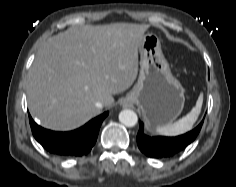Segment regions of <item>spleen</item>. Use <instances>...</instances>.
<instances>
[{
    "instance_id": "3e777b00",
    "label": "spleen",
    "mask_w": 236,
    "mask_h": 187,
    "mask_svg": "<svg viewBox=\"0 0 236 187\" xmlns=\"http://www.w3.org/2000/svg\"><path fill=\"white\" fill-rule=\"evenodd\" d=\"M202 104H203V94H200L195 107H193L186 116L179 119L173 124L157 127L156 132L164 136H177L191 130L201 112Z\"/></svg>"
}]
</instances>
